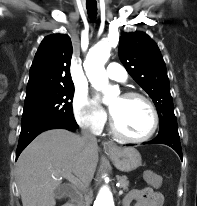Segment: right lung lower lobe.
I'll use <instances>...</instances> for the list:
<instances>
[{
  "label": "right lung lower lobe",
  "instance_id": "obj_1",
  "mask_svg": "<svg viewBox=\"0 0 197 206\" xmlns=\"http://www.w3.org/2000/svg\"><path fill=\"white\" fill-rule=\"evenodd\" d=\"M63 128L67 130H76L78 125L74 119L71 118H57V119H47L34 123L28 127L21 128V133L19 137V143L16 151V159L20 153L26 148V146L41 132L55 129Z\"/></svg>",
  "mask_w": 197,
  "mask_h": 206
}]
</instances>
